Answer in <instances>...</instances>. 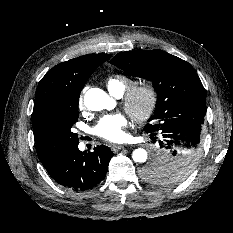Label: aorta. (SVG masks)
Wrapping results in <instances>:
<instances>
[{"label":"aorta","mask_w":233,"mask_h":233,"mask_svg":"<svg viewBox=\"0 0 233 233\" xmlns=\"http://www.w3.org/2000/svg\"><path fill=\"white\" fill-rule=\"evenodd\" d=\"M84 104L91 111L111 110L115 107V100L109 97L102 89L91 88L85 93ZM159 154H162L161 159L166 160L167 152ZM132 158L135 162L144 163L147 160V151L143 148L135 149Z\"/></svg>","instance_id":"762f6f07"}]
</instances>
